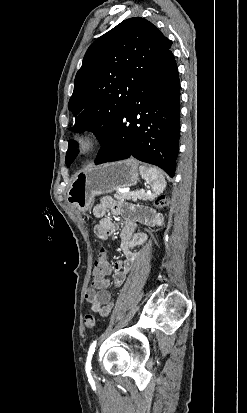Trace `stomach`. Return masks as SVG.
I'll return each mask as SVG.
<instances>
[{"label": "stomach", "mask_w": 247, "mask_h": 413, "mask_svg": "<svg viewBox=\"0 0 247 413\" xmlns=\"http://www.w3.org/2000/svg\"><path fill=\"white\" fill-rule=\"evenodd\" d=\"M139 172L133 158L89 164L85 170L75 174L67 192V202L78 211H88L96 194L113 192L123 186H133L138 180Z\"/></svg>", "instance_id": "0dacf381"}]
</instances>
